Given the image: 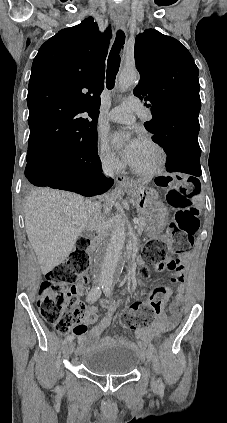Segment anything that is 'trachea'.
<instances>
[{
    "instance_id": "1",
    "label": "trachea",
    "mask_w": 227,
    "mask_h": 423,
    "mask_svg": "<svg viewBox=\"0 0 227 423\" xmlns=\"http://www.w3.org/2000/svg\"><path fill=\"white\" fill-rule=\"evenodd\" d=\"M125 43V34L119 30L107 61L106 85L109 90L114 88L116 75L120 66V51Z\"/></svg>"
}]
</instances>
